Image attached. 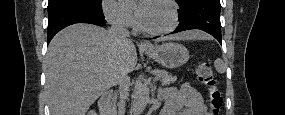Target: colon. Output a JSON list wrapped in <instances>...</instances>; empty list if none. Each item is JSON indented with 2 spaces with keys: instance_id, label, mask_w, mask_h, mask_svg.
<instances>
[{
  "instance_id": "1",
  "label": "colon",
  "mask_w": 285,
  "mask_h": 115,
  "mask_svg": "<svg viewBox=\"0 0 285 115\" xmlns=\"http://www.w3.org/2000/svg\"><path fill=\"white\" fill-rule=\"evenodd\" d=\"M196 74L198 80L208 89V104L210 107L209 114H218L222 106V96L217 88L216 80L208 63H201L197 69ZM94 110H90L88 115H96Z\"/></svg>"
}]
</instances>
